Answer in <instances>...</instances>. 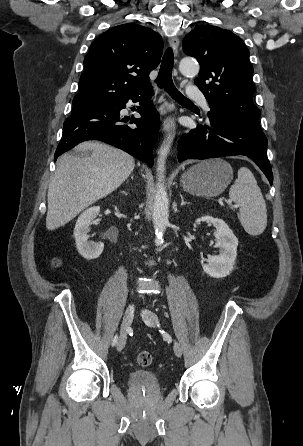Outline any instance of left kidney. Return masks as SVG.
I'll return each mask as SVG.
<instances>
[{
  "label": "left kidney",
  "mask_w": 303,
  "mask_h": 446,
  "mask_svg": "<svg viewBox=\"0 0 303 446\" xmlns=\"http://www.w3.org/2000/svg\"><path fill=\"white\" fill-rule=\"evenodd\" d=\"M211 223L215 228L216 248L220 249L219 255H208L207 264L203 265L206 274L213 278H223L233 270L234 262L237 256L238 239L233 234L228 225L219 218L212 216H203L196 220V223Z\"/></svg>",
  "instance_id": "obj_1"
}]
</instances>
